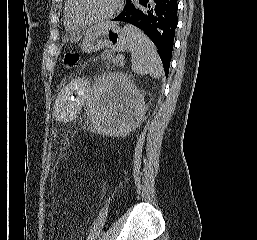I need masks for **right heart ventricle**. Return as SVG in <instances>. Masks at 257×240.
<instances>
[{
  "mask_svg": "<svg viewBox=\"0 0 257 240\" xmlns=\"http://www.w3.org/2000/svg\"><path fill=\"white\" fill-rule=\"evenodd\" d=\"M64 26L66 31L69 33H78L83 29V26L78 25L72 20L69 14L68 0H66L65 7H64Z\"/></svg>",
  "mask_w": 257,
  "mask_h": 240,
  "instance_id": "obj_1",
  "label": "right heart ventricle"
}]
</instances>
